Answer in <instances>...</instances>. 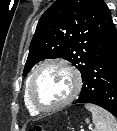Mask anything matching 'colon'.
<instances>
[{"label": "colon", "instance_id": "5ec220e1", "mask_svg": "<svg viewBox=\"0 0 117 131\" xmlns=\"http://www.w3.org/2000/svg\"><path fill=\"white\" fill-rule=\"evenodd\" d=\"M29 131H44V129L40 126H35L34 128L30 129Z\"/></svg>", "mask_w": 117, "mask_h": 131}]
</instances>
